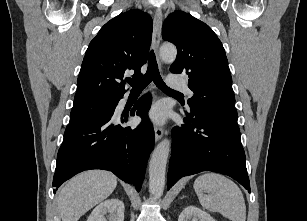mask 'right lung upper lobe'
Masks as SVG:
<instances>
[{"label": "right lung upper lobe", "mask_w": 307, "mask_h": 221, "mask_svg": "<svg viewBox=\"0 0 307 221\" xmlns=\"http://www.w3.org/2000/svg\"><path fill=\"white\" fill-rule=\"evenodd\" d=\"M152 37V19L139 10L108 21L90 42L77 80L74 105L119 101L126 90L124 75L146 63Z\"/></svg>", "instance_id": "cb5924a9"}]
</instances>
